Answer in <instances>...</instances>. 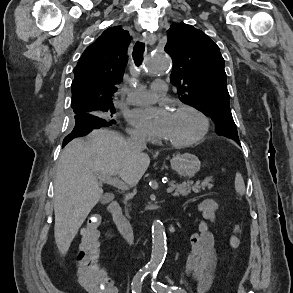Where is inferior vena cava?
<instances>
[{"instance_id":"obj_1","label":"inferior vena cava","mask_w":293,"mask_h":293,"mask_svg":"<svg viewBox=\"0 0 293 293\" xmlns=\"http://www.w3.org/2000/svg\"><path fill=\"white\" fill-rule=\"evenodd\" d=\"M128 143L136 152H142L146 148L145 136L137 132L131 134V137L128 139Z\"/></svg>"}]
</instances>
